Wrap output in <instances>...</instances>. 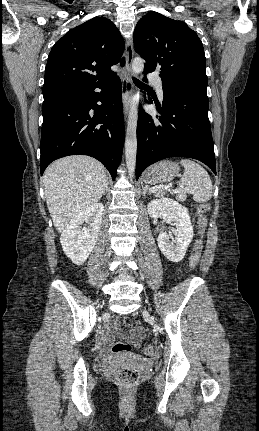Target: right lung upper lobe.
Instances as JSON below:
<instances>
[{"label":"right lung upper lobe","mask_w":259,"mask_h":431,"mask_svg":"<svg viewBox=\"0 0 259 431\" xmlns=\"http://www.w3.org/2000/svg\"><path fill=\"white\" fill-rule=\"evenodd\" d=\"M123 38L109 19L95 17L71 29L52 47L43 92L108 81L119 62Z\"/></svg>","instance_id":"cb5924a9"}]
</instances>
